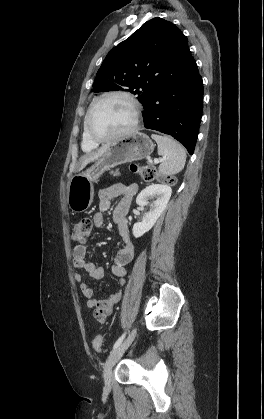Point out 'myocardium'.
I'll list each match as a JSON object with an SVG mask.
<instances>
[{
    "mask_svg": "<svg viewBox=\"0 0 264 419\" xmlns=\"http://www.w3.org/2000/svg\"><path fill=\"white\" fill-rule=\"evenodd\" d=\"M111 96H121L129 100V102L132 104L133 109H134L133 122L127 129L119 133H116L111 136L101 137V136L96 135L91 129V125H90L91 115L93 113L94 108L100 101ZM140 117H141V105L139 101L131 93L124 90L108 91L99 95L90 104L88 111L86 113V116H85V120H84L85 131L89 139L98 144L119 140V139H122L131 135L132 133L136 131L139 125Z\"/></svg>",
    "mask_w": 264,
    "mask_h": 419,
    "instance_id": "obj_1",
    "label": "myocardium"
}]
</instances>
